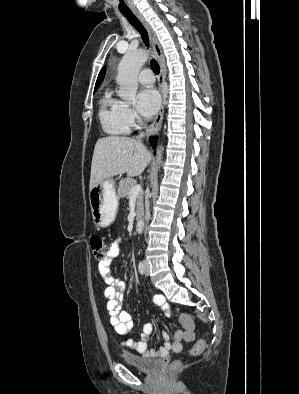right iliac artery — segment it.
Masks as SVG:
<instances>
[{"label":"right iliac artery","mask_w":299,"mask_h":394,"mask_svg":"<svg viewBox=\"0 0 299 394\" xmlns=\"http://www.w3.org/2000/svg\"><path fill=\"white\" fill-rule=\"evenodd\" d=\"M138 270H139V272H140V274H144V271H145V266H144V262L143 261H140L139 262V264H138Z\"/></svg>","instance_id":"obj_1"}]
</instances>
